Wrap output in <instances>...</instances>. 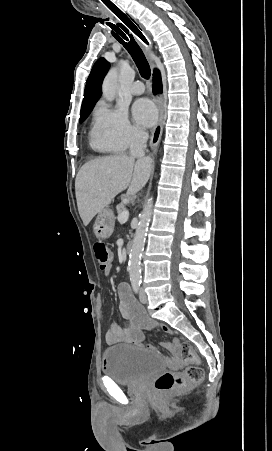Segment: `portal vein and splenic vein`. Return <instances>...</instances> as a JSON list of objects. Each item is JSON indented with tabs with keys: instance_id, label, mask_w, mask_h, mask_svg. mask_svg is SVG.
Wrapping results in <instances>:
<instances>
[{
	"instance_id": "obj_1",
	"label": "portal vein and splenic vein",
	"mask_w": 272,
	"mask_h": 451,
	"mask_svg": "<svg viewBox=\"0 0 272 451\" xmlns=\"http://www.w3.org/2000/svg\"><path fill=\"white\" fill-rule=\"evenodd\" d=\"M129 216L128 210H125V212H121V214H118V222L120 224H124V222H127Z\"/></svg>"
}]
</instances>
